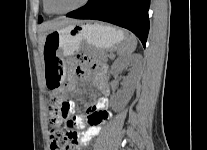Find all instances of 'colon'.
Returning a JSON list of instances; mask_svg holds the SVG:
<instances>
[{
    "instance_id": "obj_1",
    "label": "colon",
    "mask_w": 207,
    "mask_h": 150,
    "mask_svg": "<svg viewBox=\"0 0 207 150\" xmlns=\"http://www.w3.org/2000/svg\"><path fill=\"white\" fill-rule=\"evenodd\" d=\"M68 99L60 95H52L49 100V121L53 127L49 131L51 150H76L78 133L71 127V119L66 107H70Z\"/></svg>"
}]
</instances>
